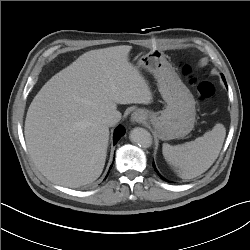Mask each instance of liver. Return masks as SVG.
<instances>
[{"mask_svg": "<svg viewBox=\"0 0 250 250\" xmlns=\"http://www.w3.org/2000/svg\"><path fill=\"white\" fill-rule=\"evenodd\" d=\"M131 46L91 50L55 74L34 97L25 120L26 145L39 171L69 188L93 183L107 156L117 104H150L152 92L128 59Z\"/></svg>", "mask_w": 250, "mask_h": 250, "instance_id": "obj_1", "label": "liver"}]
</instances>
